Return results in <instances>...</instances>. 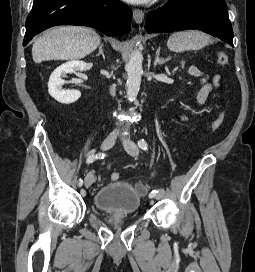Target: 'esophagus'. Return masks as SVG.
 Returning a JSON list of instances; mask_svg holds the SVG:
<instances>
[{"instance_id": "1", "label": "esophagus", "mask_w": 255, "mask_h": 272, "mask_svg": "<svg viewBox=\"0 0 255 272\" xmlns=\"http://www.w3.org/2000/svg\"><path fill=\"white\" fill-rule=\"evenodd\" d=\"M133 18L136 23L140 24L142 23L144 19V12L140 9H134L133 10Z\"/></svg>"}]
</instances>
